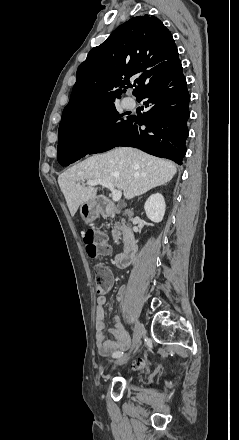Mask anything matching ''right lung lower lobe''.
<instances>
[{
    "instance_id": "1",
    "label": "right lung lower lobe",
    "mask_w": 239,
    "mask_h": 440,
    "mask_svg": "<svg viewBox=\"0 0 239 440\" xmlns=\"http://www.w3.org/2000/svg\"><path fill=\"white\" fill-rule=\"evenodd\" d=\"M146 100L149 110L140 116H129L116 130L91 145L79 144L58 150V162L67 166L87 154L104 152L116 146H131L149 154L168 158L178 164L186 154L187 120L190 95L182 65L152 82L138 97ZM145 126V129H141Z\"/></svg>"
}]
</instances>
